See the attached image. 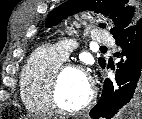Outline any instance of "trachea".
<instances>
[{
  "instance_id": "1",
  "label": "trachea",
  "mask_w": 142,
  "mask_h": 119,
  "mask_svg": "<svg viewBox=\"0 0 142 119\" xmlns=\"http://www.w3.org/2000/svg\"><path fill=\"white\" fill-rule=\"evenodd\" d=\"M100 49H107V47L106 46H101Z\"/></svg>"
}]
</instances>
